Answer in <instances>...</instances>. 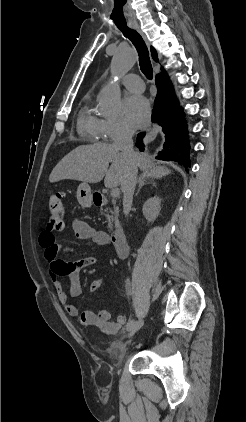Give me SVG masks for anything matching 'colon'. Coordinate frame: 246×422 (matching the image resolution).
Wrapping results in <instances>:
<instances>
[{"label":"colon","mask_w":246,"mask_h":422,"mask_svg":"<svg viewBox=\"0 0 246 422\" xmlns=\"http://www.w3.org/2000/svg\"><path fill=\"white\" fill-rule=\"evenodd\" d=\"M49 204V222L48 226L53 230L60 229L64 222L63 197L59 192H53L48 198Z\"/></svg>","instance_id":"colon-1"}]
</instances>
